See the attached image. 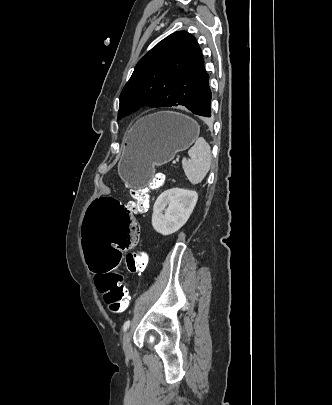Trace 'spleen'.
<instances>
[{
    "label": "spleen",
    "instance_id": "spleen-1",
    "mask_svg": "<svg viewBox=\"0 0 332 405\" xmlns=\"http://www.w3.org/2000/svg\"><path fill=\"white\" fill-rule=\"evenodd\" d=\"M189 159L182 160L183 169L192 184L201 183L210 170L212 155L210 145L202 137L188 150Z\"/></svg>",
    "mask_w": 332,
    "mask_h": 405
}]
</instances>
